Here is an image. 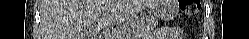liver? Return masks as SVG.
Here are the masks:
<instances>
[{
    "instance_id": "liver-1",
    "label": "liver",
    "mask_w": 249,
    "mask_h": 39,
    "mask_svg": "<svg viewBox=\"0 0 249 39\" xmlns=\"http://www.w3.org/2000/svg\"><path fill=\"white\" fill-rule=\"evenodd\" d=\"M154 0H44V39H90L88 30L101 17L98 30L120 24L151 6Z\"/></svg>"
}]
</instances>
